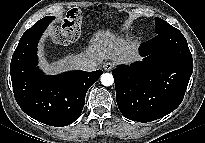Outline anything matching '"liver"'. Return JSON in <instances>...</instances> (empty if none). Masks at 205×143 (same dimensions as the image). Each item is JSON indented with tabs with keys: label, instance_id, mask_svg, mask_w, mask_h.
Masks as SVG:
<instances>
[{
	"label": "liver",
	"instance_id": "liver-1",
	"mask_svg": "<svg viewBox=\"0 0 205 143\" xmlns=\"http://www.w3.org/2000/svg\"><path fill=\"white\" fill-rule=\"evenodd\" d=\"M88 58L102 65L104 60H112L116 64H129L141 60L137 45L118 36L109 30H98L89 40L84 52L77 55H68L56 61L42 60L40 68L50 75H55L67 70L81 69L79 59Z\"/></svg>",
	"mask_w": 205,
	"mask_h": 143
}]
</instances>
